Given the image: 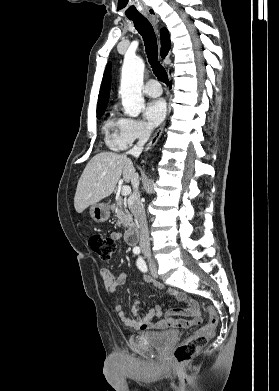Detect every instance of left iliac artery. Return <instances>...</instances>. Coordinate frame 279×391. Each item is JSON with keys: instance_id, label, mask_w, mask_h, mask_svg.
<instances>
[{"instance_id": "obj_1", "label": "left iliac artery", "mask_w": 279, "mask_h": 391, "mask_svg": "<svg viewBox=\"0 0 279 391\" xmlns=\"http://www.w3.org/2000/svg\"><path fill=\"white\" fill-rule=\"evenodd\" d=\"M137 266H138V268H139L142 272H146V271H147L146 263H145V261H144L142 258H138V259H137Z\"/></svg>"}]
</instances>
